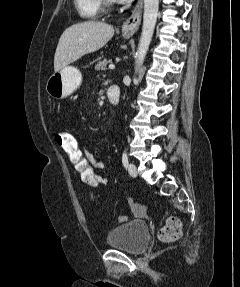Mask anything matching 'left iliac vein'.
<instances>
[{
  "label": "left iliac vein",
  "mask_w": 240,
  "mask_h": 287,
  "mask_svg": "<svg viewBox=\"0 0 240 287\" xmlns=\"http://www.w3.org/2000/svg\"><path fill=\"white\" fill-rule=\"evenodd\" d=\"M128 171H129V174L131 176H133V177L137 176V169H136V166L133 163H130L128 165Z\"/></svg>",
  "instance_id": "left-iliac-vein-1"
}]
</instances>
